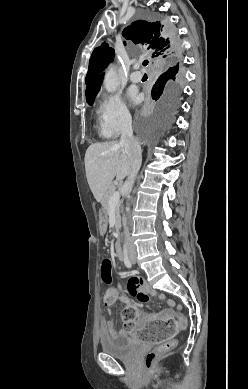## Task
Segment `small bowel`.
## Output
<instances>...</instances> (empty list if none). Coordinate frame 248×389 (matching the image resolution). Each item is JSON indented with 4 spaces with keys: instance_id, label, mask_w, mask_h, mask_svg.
Masks as SVG:
<instances>
[{
    "instance_id": "small-bowel-1",
    "label": "small bowel",
    "mask_w": 248,
    "mask_h": 389,
    "mask_svg": "<svg viewBox=\"0 0 248 389\" xmlns=\"http://www.w3.org/2000/svg\"><path fill=\"white\" fill-rule=\"evenodd\" d=\"M128 285H127V293L130 297L135 298L138 303H144L148 301L150 298H157L160 301L166 302L169 306H174L175 303L171 299H167L166 296L163 293H160L152 288H150L144 279L142 278V274L140 272L132 273L131 276L128 278ZM117 291L116 288L112 287ZM118 292V291H117ZM116 301V300H115ZM114 301V302H115ZM112 302L111 304H113ZM111 304H106L110 306ZM181 306H177V310L181 311ZM108 312L111 314V309H108ZM173 318V312L172 311H165L161 314H147L142 316L137 322L136 327L133 330H138L139 326H142L144 322L156 319V318ZM126 331L122 330L120 332L115 330V319L114 317H111L108 320H105L101 323V336L105 335H111V334H120L122 336L127 337L129 333H132V331Z\"/></svg>"
}]
</instances>
